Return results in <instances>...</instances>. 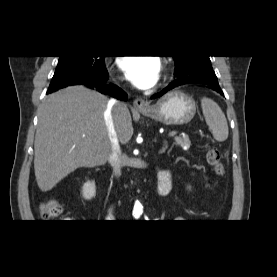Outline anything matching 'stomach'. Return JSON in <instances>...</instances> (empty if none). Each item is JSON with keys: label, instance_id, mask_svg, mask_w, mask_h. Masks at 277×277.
I'll list each match as a JSON object with an SVG mask.
<instances>
[{"label": "stomach", "instance_id": "stomach-1", "mask_svg": "<svg viewBox=\"0 0 277 277\" xmlns=\"http://www.w3.org/2000/svg\"><path fill=\"white\" fill-rule=\"evenodd\" d=\"M140 112L165 125H183L193 119L196 103L192 97L181 91H171L156 104L141 109Z\"/></svg>", "mask_w": 277, "mask_h": 277}]
</instances>
